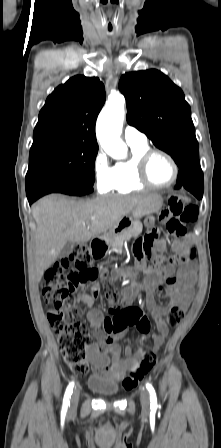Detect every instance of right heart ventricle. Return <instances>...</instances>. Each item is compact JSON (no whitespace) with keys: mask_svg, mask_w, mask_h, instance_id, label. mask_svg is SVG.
Masks as SVG:
<instances>
[{"mask_svg":"<svg viewBox=\"0 0 221 448\" xmlns=\"http://www.w3.org/2000/svg\"><path fill=\"white\" fill-rule=\"evenodd\" d=\"M149 149V146H131L132 157L128 161L119 162L115 166V177L112 186L117 193H130L146 187L137 177V160Z\"/></svg>","mask_w":221,"mask_h":448,"instance_id":"e07e8e85","label":"right heart ventricle"}]
</instances>
